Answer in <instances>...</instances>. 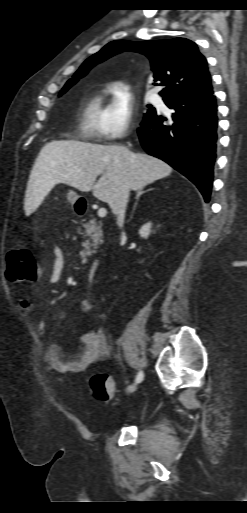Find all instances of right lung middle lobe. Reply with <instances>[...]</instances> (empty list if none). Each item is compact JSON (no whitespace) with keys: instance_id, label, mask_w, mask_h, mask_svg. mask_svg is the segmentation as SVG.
Wrapping results in <instances>:
<instances>
[{"instance_id":"1","label":"right lung middle lobe","mask_w":247,"mask_h":513,"mask_svg":"<svg viewBox=\"0 0 247 513\" xmlns=\"http://www.w3.org/2000/svg\"><path fill=\"white\" fill-rule=\"evenodd\" d=\"M77 80H78L77 78H72V79H70V80L66 83V85L64 86V88L62 89V91H61L60 95H61V94H63L64 92H66V91H67V90H68V89H69V88H70L74 83H76V82H77ZM154 112H155V109H154V108H150V109L148 110V112L145 114V116H147V115H149V114H152V113H154Z\"/></svg>"}]
</instances>
